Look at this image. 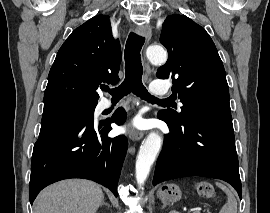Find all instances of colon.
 <instances>
[{"label":"colon","mask_w":270,"mask_h":213,"mask_svg":"<svg viewBox=\"0 0 270 213\" xmlns=\"http://www.w3.org/2000/svg\"><path fill=\"white\" fill-rule=\"evenodd\" d=\"M197 193L203 198H213L215 191L213 186L208 182H201L196 186Z\"/></svg>","instance_id":"colon-1"}]
</instances>
